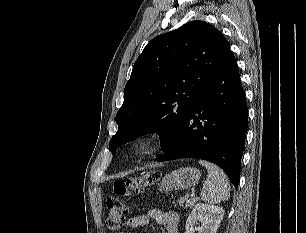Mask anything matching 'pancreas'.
I'll return each instance as SVG.
<instances>
[{"instance_id":"cf45deb5","label":"pancreas","mask_w":306,"mask_h":233,"mask_svg":"<svg viewBox=\"0 0 306 233\" xmlns=\"http://www.w3.org/2000/svg\"><path fill=\"white\" fill-rule=\"evenodd\" d=\"M198 201L197 198H188V196L181 197L178 199L177 203L180 207H185L186 209L192 208V206L195 205V203Z\"/></svg>"}]
</instances>
